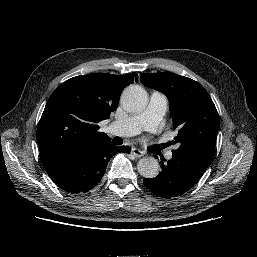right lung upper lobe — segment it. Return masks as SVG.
<instances>
[{
  "label": "right lung upper lobe",
  "mask_w": 257,
  "mask_h": 257,
  "mask_svg": "<svg viewBox=\"0 0 257 257\" xmlns=\"http://www.w3.org/2000/svg\"><path fill=\"white\" fill-rule=\"evenodd\" d=\"M136 75L92 73L62 83L50 96L37 130L43 166L72 151L110 141L98 132V123L117 109L122 90Z\"/></svg>",
  "instance_id": "1"
}]
</instances>
